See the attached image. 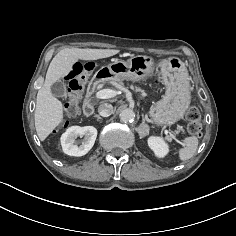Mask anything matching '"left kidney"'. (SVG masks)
<instances>
[{
  "label": "left kidney",
  "instance_id": "obj_1",
  "mask_svg": "<svg viewBox=\"0 0 236 236\" xmlns=\"http://www.w3.org/2000/svg\"><path fill=\"white\" fill-rule=\"evenodd\" d=\"M148 146L150 147V149L153 150L155 155L159 158H163L169 152L167 143H165V141L160 137L156 136L149 137Z\"/></svg>",
  "mask_w": 236,
  "mask_h": 236
}]
</instances>
